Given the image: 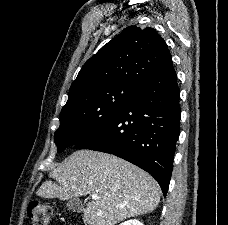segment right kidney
Listing matches in <instances>:
<instances>
[{
    "label": "right kidney",
    "mask_w": 228,
    "mask_h": 225,
    "mask_svg": "<svg viewBox=\"0 0 228 225\" xmlns=\"http://www.w3.org/2000/svg\"><path fill=\"white\" fill-rule=\"evenodd\" d=\"M121 225H143L141 221H137V219H130V221H124Z\"/></svg>",
    "instance_id": "1"
}]
</instances>
